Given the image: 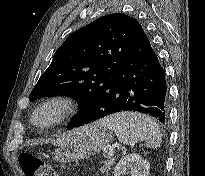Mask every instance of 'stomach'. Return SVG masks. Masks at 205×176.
Here are the masks:
<instances>
[{
  "label": "stomach",
  "instance_id": "obj_1",
  "mask_svg": "<svg viewBox=\"0 0 205 176\" xmlns=\"http://www.w3.org/2000/svg\"><path fill=\"white\" fill-rule=\"evenodd\" d=\"M112 132L100 127L97 123L87 126L83 136L77 141L60 147L54 154V159L60 163H70L100 152L109 146Z\"/></svg>",
  "mask_w": 205,
  "mask_h": 176
}]
</instances>
